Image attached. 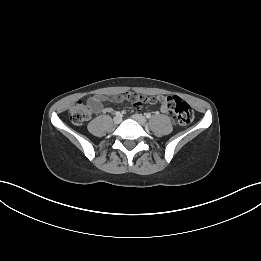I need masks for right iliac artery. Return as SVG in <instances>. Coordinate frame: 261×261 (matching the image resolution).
<instances>
[{
	"label": "right iliac artery",
	"instance_id": "obj_1",
	"mask_svg": "<svg viewBox=\"0 0 261 261\" xmlns=\"http://www.w3.org/2000/svg\"><path fill=\"white\" fill-rule=\"evenodd\" d=\"M115 114H116V116H121L122 115L120 112H116Z\"/></svg>",
	"mask_w": 261,
	"mask_h": 261
}]
</instances>
